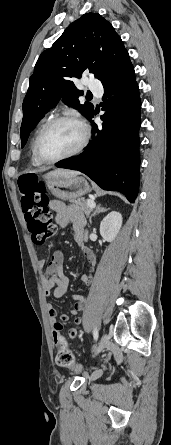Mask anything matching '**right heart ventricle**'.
<instances>
[{
  "mask_svg": "<svg viewBox=\"0 0 171 445\" xmlns=\"http://www.w3.org/2000/svg\"><path fill=\"white\" fill-rule=\"evenodd\" d=\"M31 162L34 166H40L41 163L38 162V160L36 159L35 155H34V140L32 142V146H31Z\"/></svg>",
  "mask_w": 171,
  "mask_h": 445,
  "instance_id": "1",
  "label": "right heart ventricle"
}]
</instances>
